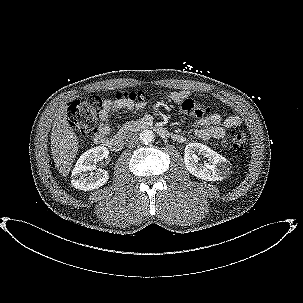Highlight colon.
<instances>
[{
	"label": "colon",
	"instance_id": "colon-1",
	"mask_svg": "<svg viewBox=\"0 0 303 303\" xmlns=\"http://www.w3.org/2000/svg\"><path fill=\"white\" fill-rule=\"evenodd\" d=\"M147 94L143 91H124L114 95L116 100L128 102H142ZM113 96L92 95L85 100L73 101L67 110L68 121L74 126L79 136L84 140H90L97 133V113L106 103L112 101ZM180 108L187 114L202 117L204 110L199 108L191 98L183 100ZM230 141L234 150L241 151L247 141L245 131L235 128L230 133Z\"/></svg>",
	"mask_w": 303,
	"mask_h": 303
}]
</instances>
